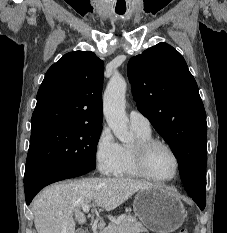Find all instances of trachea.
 Listing matches in <instances>:
<instances>
[{"label": "trachea", "instance_id": "trachea-1", "mask_svg": "<svg viewBox=\"0 0 227 233\" xmlns=\"http://www.w3.org/2000/svg\"><path fill=\"white\" fill-rule=\"evenodd\" d=\"M118 14H124V12H117Z\"/></svg>", "mask_w": 227, "mask_h": 233}]
</instances>
